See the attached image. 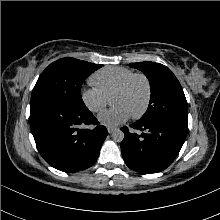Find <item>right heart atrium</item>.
<instances>
[{
	"label": "right heart atrium",
	"instance_id": "right-heart-atrium-1",
	"mask_svg": "<svg viewBox=\"0 0 220 220\" xmlns=\"http://www.w3.org/2000/svg\"><path fill=\"white\" fill-rule=\"evenodd\" d=\"M81 100L90 112L98 113L107 105L108 97L97 87L92 86L82 89Z\"/></svg>",
	"mask_w": 220,
	"mask_h": 220
}]
</instances>
